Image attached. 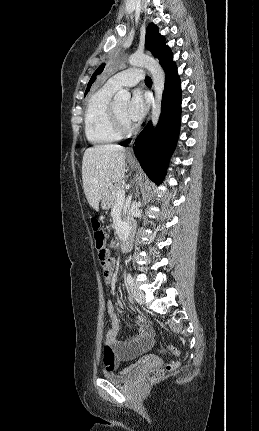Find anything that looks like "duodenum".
Instances as JSON below:
<instances>
[{
	"mask_svg": "<svg viewBox=\"0 0 259 431\" xmlns=\"http://www.w3.org/2000/svg\"><path fill=\"white\" fill-rule=\"evenodd\" d=\"M133 235V227L129 226L126 229H123L121 231V237H122V244H121V249L123 250H128L131 248V238Z\"/></svg>",
	"mask_w": 259,
	"mask_h": 431,
	"instance_id": "duodenum-1",
	"label": "duodenum"
}]
</instances>
